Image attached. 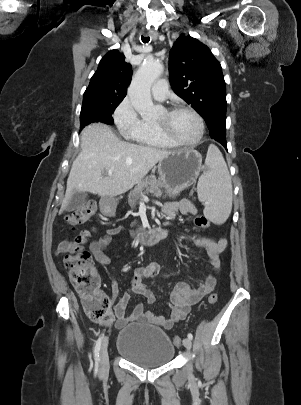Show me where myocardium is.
Listing matches in <instances>:
<instances>
[{
	"mask_svg": "<svg viewBox=\"0 0 301 405\" xmlns=\"http://www.w3.org/2000/svg\"><path fill=\"white\" fill-rule=\"evenodd\" d=\"M180 111H187L190 112L195 116V118L198 121L199 124V133L198 136L196 137L195 140L191 142H185L180 139H178L176 136H174L168 129L167 125L165 122H155V128L158 131V133L167 141L171 142L172 144L176 146H182V147H194L198 145L201 140L203 139L204 133H205V122L203 117L200 115L198 111H196L194 108L186 105H177L172 108L165 109V113L167 116H171L174 113L180 112Z\"/></svg>",
	"mask_w": 301,
	"mask_h": 405,
	"instance_id": "obj_1",
	"label": "myocardium"
}]
</instances>
